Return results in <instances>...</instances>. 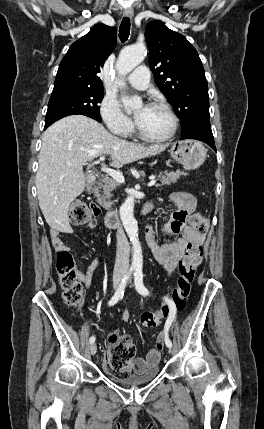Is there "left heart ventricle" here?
<instances>
[{
  "mask_svg": "<svg viewBox=\"0 0 264 429\" xmlns=\"http://www.w3.org/2000/svg\"><path fill=\"white\" fill-rule=\"evenodd\" d=\"M135 116L141 130L149 137H163L171 130V118L164 110L140 107L136 110Z\"/></svg>",
  "mask_w": 264,
  "mask_h": 429,
  "instance_id": "1",
  "label": "left heart ventricle"
}]
</instances>
